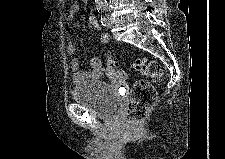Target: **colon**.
I'll use <instances>...</instances> for the list:
<instances>
[{
    "instance_id": "colon-1",
    "label": "colon",
    "mask_w": 225,
    "mask_h": 159,
    "mask_svg": "<svg viewBox=\"0 0 225 159\" xmlns=\"http://www.w3.org/2000/svg\"><path fill=\"white\" fill-rule=\"evenodd\" d=\"M134 70L143 76L158 80L163 76V68L154 59L140 57L133 64ZM108 75L113 78H125L126 72L119 68L116 61L109 58L106 63ZM156 99V90L147 80H136L132 86V98L126 109V121L131 125H138L148 115Z\"/></svg>"
}]
</instances>
